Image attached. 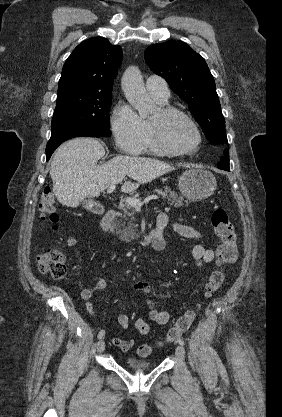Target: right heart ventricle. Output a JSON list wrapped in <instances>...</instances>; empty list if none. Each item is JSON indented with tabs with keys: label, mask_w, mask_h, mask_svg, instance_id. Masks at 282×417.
I'll use <instances>...</instances> for the list:
<instances>
[{
	"label": "right heart ventricle",
	"mask_w": 282,
	"mask_h": 417,
	"mask_svg": "<svg viewBox=\"0 0 282 417\" xmlns=\"http://www.w3.org/2000/svg\"><path fill=\"white\" fill-rule=\"evenodd\" d=\"M161 105H165L166 102H159ZM147 125V141H146V147L145 149H150L155 152H165L157 143L151 129L149 122H146Z\"/></svg>",
	"instance_id": "right-heart-ventricle-1"
}]
</instances>
